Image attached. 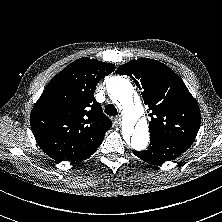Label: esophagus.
<instances>
[{
    "mask_svg": "<svg viewBox=\"0 0 222 222\" xmlns=\"http://www.w3.org/2000/svg\"><path fill=\"white\" fill-rule=\"evenodd\" d=\"M114 122L116 125H119L120 122H121V116H117L115 119H114Z\"/></svg>",
    "mask_w": 222,
    "mask_h": 222,
    "instance_id": "34e87169",
    "label": "esophagus"
}]
</instances>
